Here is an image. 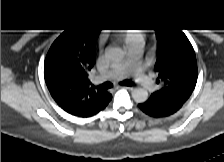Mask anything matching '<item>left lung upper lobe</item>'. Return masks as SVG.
<instances>
[{"label": "left lung upper lobe", "instance_id": "5c2ea615", "mask_svg": "<svg viewBox=\"0 0 224 162\" xmlns=\"http://www.w3.org/2000/svg\"><path fill=\"white\" fill-rule=\"evenodd\" d=\"M157 36V83L162 88L149 100L183 104L192 94L197 82V62L192 45L181 32L154 27Z\"/></svg>", "mask_w": 224, "mask_h": 162}]
</instances>
